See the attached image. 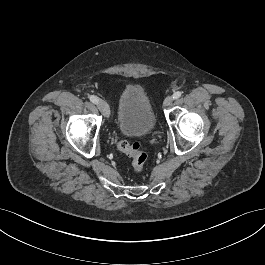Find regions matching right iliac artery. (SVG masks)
<instances>
[{"label": "right iliac artery", "mask_w": 265, "mask_h": 265, "mask_svg": "<svg viewBox=\"0 0 265 265\" xmlns=\"http://www.w3.org/2000/svg\"><path fill=\"white\" fill-rule=\"evenodd\" d=\"M89 99H90V101H91L92 103H95V104H97L98 101H99V99H98L96 96H93V95L90 96Z\"/></svg>", "instance_id": "right-iliac-artery-1"}]
</instances>
